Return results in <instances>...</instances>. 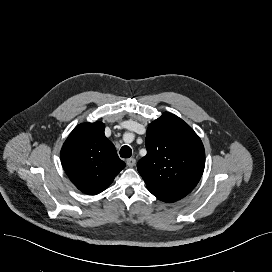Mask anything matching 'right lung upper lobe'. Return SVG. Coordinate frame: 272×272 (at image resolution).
I'll list each match as a JSON object with an SVG mask.
<instances>
[{
  "label": "right lung upper lobe",
  "mask_w": 272,
  "mask_h": 272,
  "mask_svg": "<svg viewBox=\"0 0 272 272\" xmlns=\"http://www.w3.org/2000/svg\"><path fill=\"white\" fill-rule=\"evenodd\" d=\"M104 129L99 121L78 125L61 149L66 174L79 190L89 195L104 191L125 167L114 145L105 137Z\"/></svg>",
  "instance_id": "1"
}]
</instances>
